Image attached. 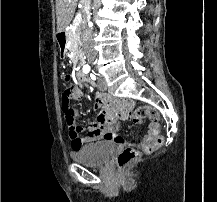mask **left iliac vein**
<instances>
[{"mask_svg":"<svg viewBox=\"0 0 217 202\" xmlns=\"http://www.w3.org/2000/svg\"><path fill=\"white\" fill-rule=\"evenodd\" d=\"M98 89L101 91H105L107 89V85L105 80L101 79L97 85Z\"/></svg>","mask_w":217,"mask_h":202,"instance_id":"obj_1","label":"left iliac vein"}]
</instances>
